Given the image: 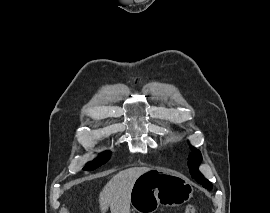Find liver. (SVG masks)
I'll return each instance as SVG.
<instances>
[{
  "instance_id": "obj_1",
  "label": "liver",
  "mask_w": 270,
  "mask_h": 213,
  "mask_svg": "<svg viewBox=\"0 0 270 213\" xmlns=\"http://www.w3.org/2000/svg\"><path fill=\"white\" fill-rule=\"evenodd\" d=\"M149 167H134L120 171L114 175L99 194V208L106 213L110 207L111 213H130V195L135 180Z\"/></svg>"
}]
</instances>
